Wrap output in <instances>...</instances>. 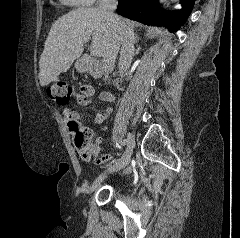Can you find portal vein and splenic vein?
I'll use <instances>...</instances> for the list:
<instances>
[{"mask_svg":"<svg viewBox=\"0 0 240 238\" xmlns=\"http://www.w3.org/2000/svg\"><path fill=\"white\" fill-rule=\"evenodd\" d=\"M91 55L97 56L98 53L96 51H91ZM113 67V63L111 61H104L103 63V69L108 70Z\"/></svg>","mask_w":240,"mask_h":238,"instance_id":"obj_1","label":"portal vein and splenic vein"}]
</instances>
